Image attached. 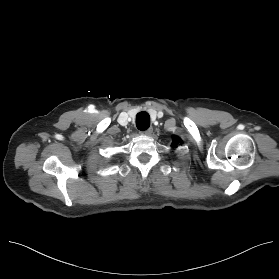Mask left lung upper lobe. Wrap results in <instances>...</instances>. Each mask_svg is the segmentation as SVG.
Segmentation results:
<instances>
[{"label": "left lung upper lobe", "mask_w": 279, "mask_h": 279, "mask_svg": "<svg viewBox=\"0 0 279 279\" xmlns=\"http://www.w3.org/2000/svg\"><path fill=\"white\" fill-rule=\"evenodd\" d=\"M172 141H173V143H172L173 148H175L178 144L182 143L181 139L177 136H173Z\"/></svg>", "instance_id": "obj_1"}]
</instances>
